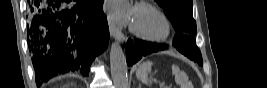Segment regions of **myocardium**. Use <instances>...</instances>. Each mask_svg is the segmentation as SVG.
Masks as SVG:
<instances>
[{
  "mask_svg": "<svg viewBox=\"0 0 267 88\" xmlns=\"http://www.w3.org/2000/svg\"><path fill=\"white\" fill-rule=\"evenodd\" d=\"M140 10L146 11L154 15L162 23L163 31L160 34H152V33L142 30L141 28H139L136 24L132 22L130 25L131 32L134 33L136 36L142 39L148 40V41H152V42L166 41L170 37L171 30H172L168 18L160 10H158L156 7L148 3H138L133 8V12L140 11Z\"/></svg>",
  "mask_w": 267,
  "mask_h": 88,
  "instance_id": "myocardium-1",
  "label": "myocardium"
}]
</instances>
